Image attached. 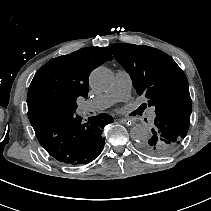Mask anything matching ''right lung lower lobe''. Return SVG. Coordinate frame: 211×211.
I'll return each instance as SVG.
<instances>
[{
  "label": "right lung lower lobe",
  "mask_w": 211,
  "mask_h": 211,
  "mask_svg": "<svg viewBox=\"0 0 211 211\" xmlns=\"http://www.w3.org/2000/svg\"><path fill=\"white\" fill-rule=\"evenodd\" d=\"M113 122L107 114L89 117L86 123L74 113L34 125L41 146L55 160L67 165L86 164L102 152V129Z\"/></svg>",
  "instance_id": "1"
}]
</instances>
